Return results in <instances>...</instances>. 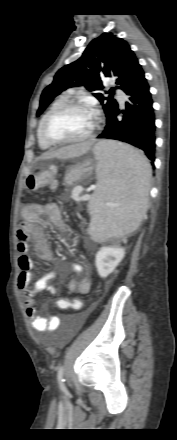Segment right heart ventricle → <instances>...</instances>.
<instances>
[{"mask_svg": "<svg viewBox=\"0 0 177 440\" xmlns=\"http://www.w3.org/2000/svg\"><path fill=\"white\" fill-rule=\"evenodd\" d=\"M70 101V96L68 94H64L59 96L58 98H56L55 100L52 101V103L49 105V107L47 108V110L45 111V113L43 114L42 118L40 119L39 125H38V129H37V137H38V142L39 145L42 149H48L50 147H52L53 145L48 143L42 136L41 134V129H42V124L45 120V118L49 115V113L51 111H53L55 108H57L58 106L67 103Z\"/></svg>", "mask_w": 177, "mask_h": 440, "instance_id": "1", "label": "right heart ventricle"}]
</instances>
